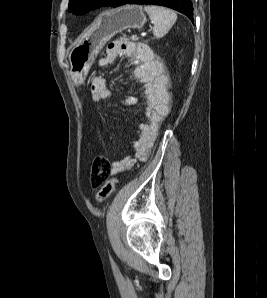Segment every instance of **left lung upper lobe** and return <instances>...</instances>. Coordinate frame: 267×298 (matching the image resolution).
Segmentation results:
<instances>
[{
  "label": "left lung upper lobe",
  "instance_id": "5c2ea615",
  "mask_svg": "<svg viewBox=\"0 0 267 298\" xmlns=\"http://www.w3.org/2000/svg\"><path fill=\"white\" fill-rule=\"evenodd\" d=\"M120 1L121 0H69V9L76 15H79L105 5L117 7Z\"/></svg>",
  "mask_w": 267,
  "mask_h": 298
}]
</instances>
